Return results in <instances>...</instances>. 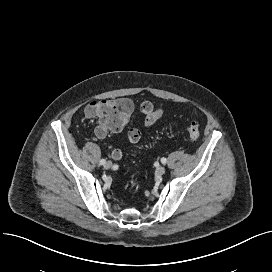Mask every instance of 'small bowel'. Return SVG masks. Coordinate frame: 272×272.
Returning a JSON list of instances; mask_svg holds the SVG:
<instances>
[{
  "label": "small bowel",
  "mask_w": 272,
  "mask_h": 272,
  "mask_svg": "<svg viewBox=\"0 0 272 272\" xmlns=\"http://www.w3.org/2000/svg\"><path fill=\"white\" fill-rule=\"evenodd\" d=\"M107 105L115 107L118 112L125 118V121L128 120L134 108L133 102L129 98L123 97L117 99H108L104 101H93L86 106L85 113L88 117H97L99 110ZM140 111L144 117V126L151 127L162 117L164 109L161 104L154 106L150 101H144L140 105ZM140 138L133 139L128 134V140L132 144L137 143ZM108 150L114 160H120L123 156L122 150L118 147L109 145Z\"/></svg>",
  "instance_id": "small-bowel-1"
}]
</instances>
